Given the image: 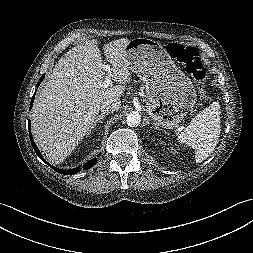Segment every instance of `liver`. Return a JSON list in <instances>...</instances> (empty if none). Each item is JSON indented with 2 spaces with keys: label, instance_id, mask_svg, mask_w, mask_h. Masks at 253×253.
<instances>
[{
  "label": "liver",
  "instance_id": "obj_1",
  "mask_svg": "<svg viewBox=\"0 0 253 253\" xmlns=\"http://www.w3.org/2000/svg\"><path fill=\"white\" fill-rule=\"evenodd\" d=\"M129 41L118 39L103 47L116 86H103L105 64L95 39L70 49L55 64L35 99L31 119L35 142L51 163L64 161L91 132L104 101L122 96L131 79L125 51Z\"/></svg>",
  "mask_w": 253,
  "mask_h": 253
}]
</instances>
